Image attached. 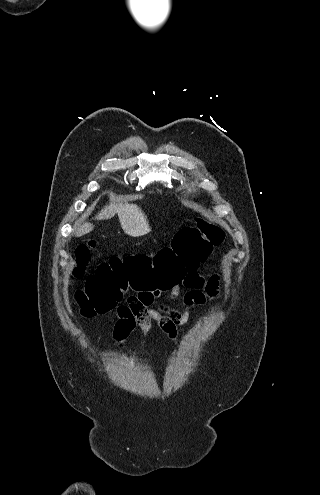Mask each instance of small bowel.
Instances as JSON below:
<instances>
[{
	"label": "small bowel",
	"mask_w": 320,
	"mask_h": 495,
	"mask_svg": "<svg viewBox=\"0 0 320 495\" xmlns=\"http://www.w3.org/2000/svg\"><path fill=\"white\" fill-rule=\"evenodd\" d=\"M217 281L216 277L207 280L195 271L186 273L181 282L168 289L171 300L181 297V309H175L158 301L161 292L145 291L141 295L138 293L136 296L129 297L127 304L120 310H116L114 338L123 340L136 327L142 331L143 337H146L151 329L152 321H156L170 339H175L179 327L188 322L191 309L197 305H204L208 297L216 293ZM181 286L188 288L183 295H181ZM144 344L145 339L142 340V345Z\"/></svg>",
	"instance_id": "1"
}]
</instances>
